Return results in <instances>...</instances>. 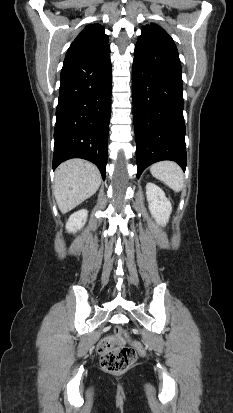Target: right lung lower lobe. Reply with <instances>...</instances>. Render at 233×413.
Here are the masks:
<instances>
[{
    "instance_id": "98d812e1",
    "label": "right lung lower lobe",
    "mask_w": 233,
    "mask_h": 413,
    "mask_svg": "<svg viewBox=\"0 0 233 413\" xmlns=\"http://www.w3.org/2000/svg\"><path fill=\"white\" fill-rule=\"evenodd\" d=\"M110 109V46L65 58L56 109L53 169L65 160L83 158L94 163L105 179Z\"/></svg>"
}]
</instances>
